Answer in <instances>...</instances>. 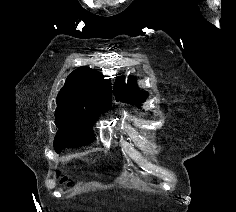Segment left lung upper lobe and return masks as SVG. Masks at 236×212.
<instances>
[{
  "label": "left lung upper lobe",
  "mask_w": 236,
  "mask_h": 212,
  "mask_svg": "<svg viewBox=\"0 0 236 212\" xmlns=\"http://www.w3.org/2000/svg\"><path fill=\"white\" fill-rule=\"evenodd\" d=\"M114 94L116 100H121L136 105L144 102L148 96L147 92L140 91L138 89L135 79H129L126 84L123 76L116 80L114 85Z\"/></svg>",
  "instance_id": "left-lung-upper-lobe-1"
}]
</instances>
